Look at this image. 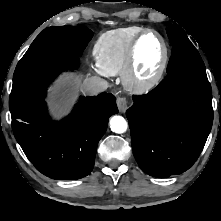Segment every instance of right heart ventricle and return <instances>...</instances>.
Returning a JSON list of instances; mask_svg holds the SVG:
<instances>
[{
  "label": "right heart ventricle",
  "instance_id": "right-heart-ventricle-1",
  "mask_svg": "<svg viewBox=\"0 0 221 221\" xmlns=\"http://www.w3.org/2000/svg\"><path fill=\"white\" fill-rule=\"evenodd\" d=\"M144 29L141 26H127L101 34L93 49L98 67L108 75L122 73L130 45Z\"/></svg>",
  "mask_w": 221,
  "mask_h": 221
}]
</instances>
